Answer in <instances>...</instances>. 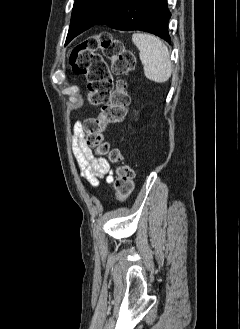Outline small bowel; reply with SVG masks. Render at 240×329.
I'll list each match as a JSON object with an SVG mask.
<instances>
[{"label": "small bowel", "instance_id": "1", "mask_svg": "<svg viewBox=\"0 0 240 329\" xmlns=\"http://www.w3.org/2000/svg\"><path fill=\"white\" fill-rule=\"evenodd\" d=\"M83 124L77 121L73 128V150L81 170V175L93 186L98 184V179L106 177L107 182L112 181V170L105 158L94 157L92 150L85 142Z\"/></svg>", "mask_w": 240, "mask_h": 329}]
</instances>
